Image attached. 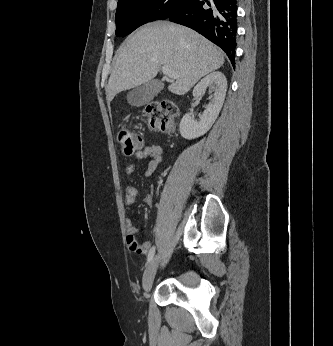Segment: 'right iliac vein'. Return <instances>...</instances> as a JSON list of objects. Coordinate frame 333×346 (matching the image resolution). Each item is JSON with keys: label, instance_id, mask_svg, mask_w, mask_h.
I'll return each mask as SVG.
<instances>
[{"label": "right iliac vein", "instance_id": "obj_1", "mask_svg": "<svg viewBox=\"0 0 333 346\" xmlns=\"http://www.w3.org/2000/svg\"><path fill=\"white\" fill-rule=\"evenodd\" d=\"M159 264V257H154L150 263L148 264L144 275H143V281L142 286L145 292H149L152 288L154 277L158 268Z\"/></svg>", "mask_w": 333, "mask_h": 346}]
</instances>
